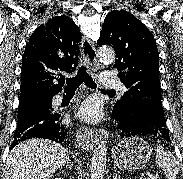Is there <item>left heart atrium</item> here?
<instances>
[{"label": "left heart atrium", "instance_id": "left-heart-atrium-1", "mask_svg": "<svg viewBox=\"0 0 183 179\" xmlns=\"http://www.w3.org/2000/svg\"><path fill=\"white\" fill-rule=\"evenodd\" d=\"M78 115L84 121L96 122L101 118L102 112L99 103L94 99H89L81 105Z\"/></svg>", "mask_w": 183, "mask_h": 179}]
</instances>
